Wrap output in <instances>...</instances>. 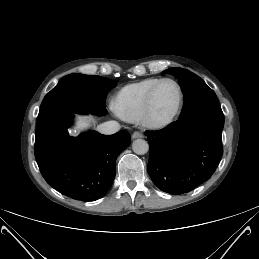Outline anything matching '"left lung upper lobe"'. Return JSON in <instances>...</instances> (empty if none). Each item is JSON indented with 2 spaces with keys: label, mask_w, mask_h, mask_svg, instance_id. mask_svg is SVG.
<instances>
[{
  "label": "left lung upper lobe",
  "mask_w": 259,
  "mask_h": 259,
  "mask_svg": "<svg viewBox=\"0 0 259 259\" xmlns=\"http://www.w3.org/2000/svg\"><path fill=\"white\" fill-rule=\"evenodd\" d=\"M164 72L176 76L185 93V103L179 118L206 110L221 109L214 91L196 74L178 67L167 69Z\"/></svg>",
  "instance_id": "1"
}]
</instances>
